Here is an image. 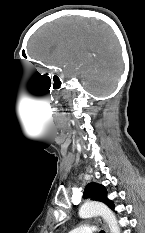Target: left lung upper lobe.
<instances>
[{"instance_id":"5c2ea615","label":"left lung upper lobe","mask_w":145,"mask_h":233,"mask_svg":"<svg viewBox=\"0 0 145 233\" xmlns=\"http://www.w3.org/2000/svg\"><path fill=\"white\" fill-rule=\"evenodd\" d=\"M90 196L91 199L101 201L108 207L114 209V203L108 199L107 191L104 186L97 183H90L86 186L84 191V197Z\"/></svg>"}]
</instances>
